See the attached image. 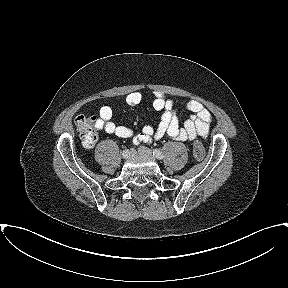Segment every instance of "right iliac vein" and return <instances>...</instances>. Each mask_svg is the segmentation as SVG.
<instances>
[{
	"mask_svg": "<svg viewBox=\"0 0 288 288\" xmlns=\"http://www.w3.org/2000/svg\"><path fill=\"white\" fill-rule=\"evenodd\" d=\"M135 155V152L133 150H129V156L130 158L133 157Z\"/></svg>",
	"mask_w": 288,
	"mask_h": 288,
	"instance_id": "right-iliac-vein-1",
	"label": "right iliac vein"
}]
</instances>
